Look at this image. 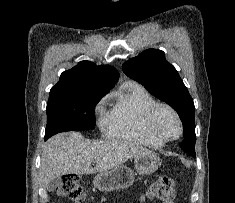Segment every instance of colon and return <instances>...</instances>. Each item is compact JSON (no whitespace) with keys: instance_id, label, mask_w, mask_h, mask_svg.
<instances>
[{"instance_id":"1","label":"colon","mask_w":235,"mask_h":203,"mask_svg":"<svg viewBox=\"0 0 235 203\" xmlns=\"http://www.w3.org/2000/svg\"><path fill=\"white\" fill-rule=\"evenodd\" d=\"M176 182L168 176H161L154 181L147 191V198L162 203H170L175 197ZM56 193L59 196L68 197L78 203L84 199V190L76 175L63 176L62 183L57 187Z\"/></svg>"}]
</instances>
